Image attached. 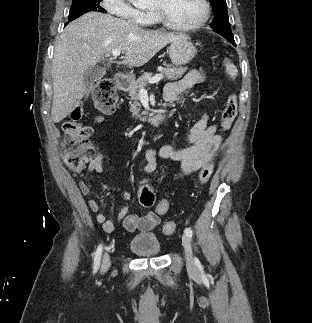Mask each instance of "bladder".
<instances>
[{
  "label": "bladder",
  "mask_w": 312,
  "mask_h": 323,
  "mask_svg": "<svg viewBox=\"0 0 312 323\" xmlns=\"http://www.w3.org/2000/svg\"><path fill=\"white\" fill-rule=\"evenodd\" d=\"M129 249H132L138 257L157 256L161 253V245L156 234L132 236Z\"/></svg>",
  "instance_id": "obj_1"
}]
</instances>
